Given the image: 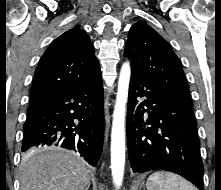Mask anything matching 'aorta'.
Segmentation results:
<instances>
[{
  "label": "aorta",
  "instance_id": "aorta-1",
  "mask_svg": "<svg viewBox=\"0 0 221 190\" xmlns=\"http://www.w3.org/2000/svg\"><path fill=\"white\" fill-rule=\"evenodd\" d=\"M130 65L124 63L120 70L116 103L111 130V171L113 183L120 188L125 168V112L130 82Z\"/></svg>",
  "mask_w": 221,
  "mask_h": 190
}]
</instances>
